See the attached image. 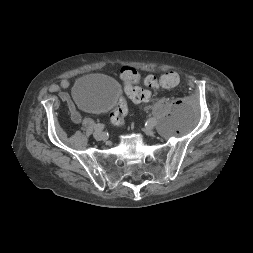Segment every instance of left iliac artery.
<instances>
[{"label":"left iliac artery","instance_id":"obj_1","mask_svg":"<svg viewBox=\"0 0 253 253\" xmlns=\"http://www.w3.org/2000/svg\"><path fill=\"white\" fill-rule=\"evenodd\" d=\"M156 120L154 119V118H151V119H149L147 122H146V124L145 125H147V126H155L156 125Z\"/></svg>","mask_w":253,"mask_h":253}]
</instances>
